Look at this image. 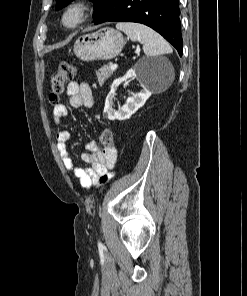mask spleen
<instances>
[{"instance_id": "obj_1", "label": "spleen", "mask_w": 247, "mask_h": 296, "mask_svg": "<svg viewBox=\"0 0 247 296\" xmlns=\"http://www.w3.org/2000/svg\"><path fill=\"white\" fill-rule=\"evenodd\" d=\"M118 30L123 31L132 41H138L143 45V51L147 57H154L172 53V48L165 39L153 29L133 22H119ZM172 70V68H169ZM174 79L172 72L170 82Z\"/></svg>"}]
</instances>
